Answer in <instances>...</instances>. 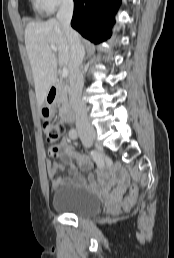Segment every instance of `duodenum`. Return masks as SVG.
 I'll use <instances>...</instances> for the list:
<instances>
[{
    "instance_id": "1",
    "label": "duodenum",
    "mask_w": 174,
    "mask_h": 258,
    "mask_svg": "<svg viewBox=\"0 0 174 258\" xmlns=\"http://www.w3.org/2000/svg\"><path fill=\"white\" fill-rule=\"evenodd\" d=\"M61 93V86L60 85H53L49 88L47 93V98L50 105H54L56 103V98ZM63 119L67 123H71L75 119V111L72 107H67L63 112Z\"/></svg>"
}]
</instances>
